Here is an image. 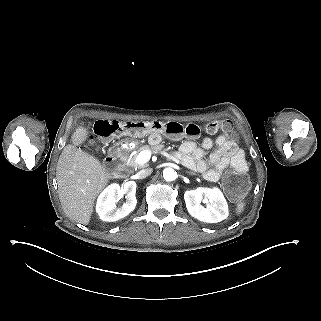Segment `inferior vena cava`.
Returning <instances> with one entry per match:
<instances>
[{
    "instance_id": "602c4592",
    "label": "inferior vena cava",
    "mask_w": 321,
    "mask_h": 321,
    "mask_svg": "<svg viewBox=\"0 0 321 321\" xmlns=\"http://www.w3.org/2000/svg\"><path fill=\"white\" fill-rule=\"evenodd\" d=\"M152 173V169L151 168H146V169H142L140 170L137 175H138V178L139 179H144L146 178L147 176L151 175Z\"/></svg>"
}]
</instances>
